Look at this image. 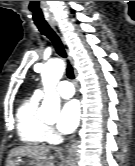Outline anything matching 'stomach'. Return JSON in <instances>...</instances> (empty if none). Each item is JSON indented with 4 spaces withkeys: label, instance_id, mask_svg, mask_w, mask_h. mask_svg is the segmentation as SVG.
I'll list each match as a JSON object with an SVG mask.
<instances>
[{
    "label": "stomach",
    "instance_id": "1",
    "mask_svg": "<svg viewBox=\"0 0 135 166\" xmlns=\"http://www.w3.org/2000/svg\"><path fill=\"white\" fill-rule=\"evenodd\" d=\"M17 161L18 160H11V162L7 166H17ZM35 166H42V165L38 164V165H35Z\"/></svg>",
    "mask_w": 135,
    "mask_h": 166
}]
</instances>
